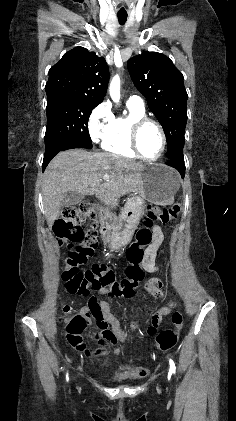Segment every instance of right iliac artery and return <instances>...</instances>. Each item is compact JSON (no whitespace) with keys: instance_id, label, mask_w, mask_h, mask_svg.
I'll list each match as a JSON object with an SVG mask.
<instances>
[{"instance_id":"1","label":"right iliac artery","mask_w":236,"mask_h":421,"mask_svg":"<svg viewBox=\"0 0 236 421\" xmlns=\"http://www.w3.org/2000/svg\"><path fill=\"white\" fill-rule=\"evenodd\" d=\"M66 379H67V381L69 380V378H68V373H67V375H66Z\"/></svg>"}]
</instances>
